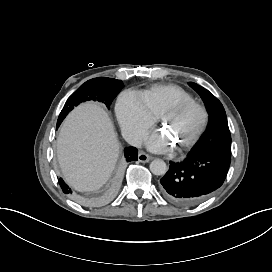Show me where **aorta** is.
<instances>
[{
    "label": "aorta",
    "mask_w": 272,
    "mask_h": 272,
    "mask_svg": "<svg viewBox=\"0 0 272 272\" xmlns=\"http://www.w3.org/2000/svg\"><path fill=\"white\" fill-rule=\"evenodd\" d=\"M150 171L157 176L165 175L167 172L166 163L163 160L156 159L151 162Z\"/></svg>",
    "instance_id": "1"
}]
</instances>
